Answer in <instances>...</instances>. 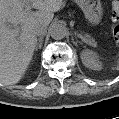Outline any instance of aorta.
Segmentation results:
<instances>
[{"label":"aorta","instance_id":"762f6f07","mask_svg":"<svg viewBox=\"0 0 119 119\" xmlns=\"http://www.w3.org/2000/svg\"><path fill=\"white\" fill-rule=\"evenodd\" d=\"M51 37L55 40H61L67 35V28L61 23H55L50 28Z\"/></svg>","mask_w":119,"mask_h":119}]
</instances>
